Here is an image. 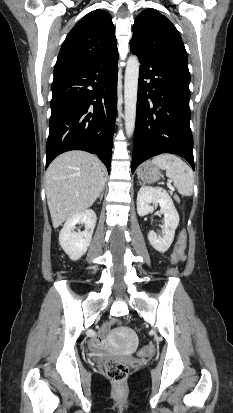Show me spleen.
I'll return each mask as SVG.
<instances>
[{
    "label": "spleen",
    "mask_w": 233,
    "mask_h": 413,
    "mask_svg": "<svg viewBox=\"0 0 233 413\" xmlns=\"http://www.w3.org/2000/svg\"><path fill=\"white\" fill-rule=\"evenodd\" d=\"M152 163L166 171V176L182 196H191L194 186V175L191 168L179 157L162 154L154 157Z\"/></svg>",
    "instance_id": "3e777b00"
}]
</instances>
